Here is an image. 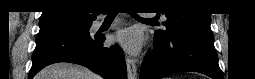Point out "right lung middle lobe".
Instances as JSON below:
<instances>
[{
    "label": "right lung middle lobe",
    "instance_id": "dd1d6c3e",
    "mask_svg": "<svg viewBox=\"0 0 255 79\" xmlns=\"http://www.w3.org/2000/svg\"><path fill=\"white\" fill-rule=\"evenodd\" d=\"M87 22L89 21L80 20L73 14L50 16L39 20V34L54 30L86 31Z\"/></svg>",
    "mask_w": 255,
    "mask_h": 79
}]
</instances>
